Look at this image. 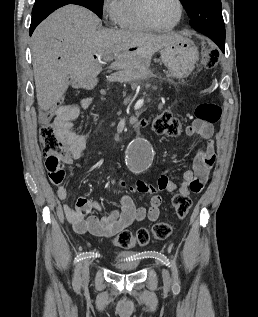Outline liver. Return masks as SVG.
<instances>
[{"mask_svg": "<svg viewBox=\"0 0 258 317\" xmlns=\"http://www.w3.org/2000/svg\"><path fill=\"white\" fill-rule=\"evenodd\" d=\"M100 18L78 4H66L47 16L31 36L36 96L48 110L66 92L69 84L82 88L97 82L102 70L99 58L113 52V70H146L160 48L179 42L182 34H151L138 30L102 28ZM134 48V50H132Z\"/></svg>", "mask_w": 258, "mask_h": 317, "instance_id": "1", "label": "liver"}]
</instances>
